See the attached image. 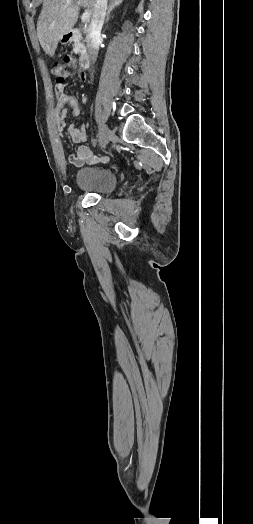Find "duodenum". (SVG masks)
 I'll list each match as a JSON object with an SVG mask.
<instances>
[{
    "instance_id": "obj_1",
    "label": "duodenum",
    "mask_w": 253,
    "mask_h": 524,
    "mask_svg": "<svg viewBox=\"0 0 253 524\" xmlns=\"http://www.w3.org/2000/svg\"><path fill=\"white\" fill-rule=\"evenodd\" d=\"M80 33H81L80 29H72L69 32H67L65 37L68 40L78 39L79 36H80ZM78 62H79V65H80L81 68H84L85 70L89 69V67H90V58H89L87 52L84 49H82L80 51Z\"/></svg>"
}]
</instances>
